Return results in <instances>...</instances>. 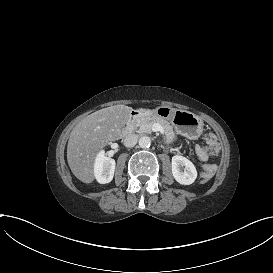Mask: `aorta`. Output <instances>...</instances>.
Returning <instances> with one entry per match:
<instances>
[{"label":"aorta","mask_w":273,"mask_h":273,"mask_svg":"<svg viewBox=\"0 0 273 273\" xmlns=\"http://www.w3.org/2000/svg\"><path fill=\"white\" fill-rule=\"evenodd\" d=\"M151 145V139L148 136H142L139 139V146L141 148H148Z\"/></svg>","instance_id":"aorta-1"}]
</instances>
